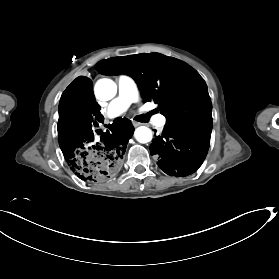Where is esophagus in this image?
I'll return each instance as SVG.
<instances>
[{
  "instance_id": "34e87169",
  "label": "esophagus",
  "mask_w": 279,
  "mask_h": 279,
  "mask_svg": "<svg viewBox=\"0 0 279 279\" xmlns=\"http://www.w3.org/2000/svg\"><path fill=\"white\" fill-rule=\"evenodd\" d=\"M132 124H133L134 127H138L140 125V123L136 122V121H132Z\"/></svg>"
}]
</instances>
